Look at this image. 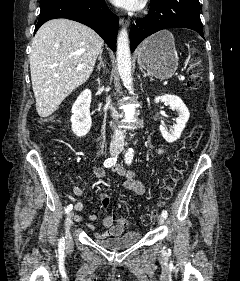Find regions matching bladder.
Returning <instances> with one entry per match:
<instances>
[{"mask_svg": "<svg viewBox=\"0 0 240 281\" xmlns=\"http://www.w3.org/2000/svg\"><path fill=\"white\" fill-rule=\"evenodd\" d=\"M141 239L139 232H127L114 237H99L96 242L101 247L108 250H124L132 247Z\"/></svg>", "mask_w": 240, "mask_h": 281, "instance_id": "bladder-1", "label": "bladder"}]
</instances>
